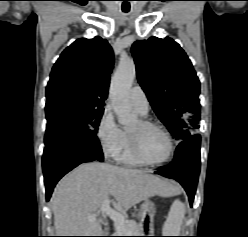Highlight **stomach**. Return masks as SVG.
Returning a JSON list of instances; mask_svg holds the SVG:
<instances>
[{"label":"stomach","mask_w":248,"mask_h":237,"mask_svg":"<svg viewBox=\"0 0 248 237\" xmlns=\"http://www.w3.org/2000/svg\"><path fill=\"white\" fill-rule=\"evenodd\" d=\"M154 214H155V204L152 201L146 199L140 208V216L142 220H144L147 217H149L152 220Z\"/></svg>","instance_id":"stomach-1"}]
</instances>
